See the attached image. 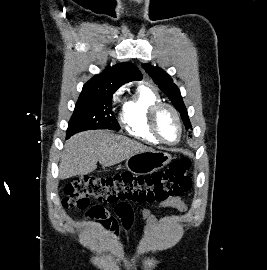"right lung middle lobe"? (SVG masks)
<instances>
[{
	"label": "right lung middle lobe",
	"mask_w": 267,
	"mask_h": 270,
	"mask_svg": "<svg viewBox=\"0 0 267 270\" xmlns=\"http://www.w3.org/2000/svg\"><path fill=\"white\" fill-rule=\"evenodd\" d=\"M115 91V89L82 90L68 123L67 138L85 130H120L111 107Z\"/></svg>",
	"instance_id": "obj_1"
}]
</instances>
